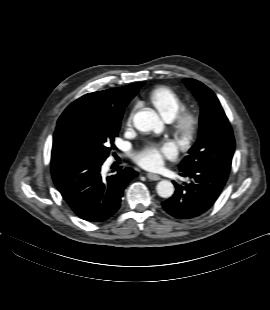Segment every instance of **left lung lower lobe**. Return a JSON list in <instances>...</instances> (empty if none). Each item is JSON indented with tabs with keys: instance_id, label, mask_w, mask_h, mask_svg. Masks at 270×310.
Instances as JSON below:
<instances>
[{
	"instance_id": "left-lung-lower-lobe-1",
	"label": "left lung lower lobe",
	"mask_w": 270,
	"mask_h": 310,
	"mask_svg": "<svg viewBox=\"0 0 270 310\" xmlns=\"http://www.w3.org/2000/svg\"><path fill=\"white\" fill-rule=\"evenodd\" d=\"M188 183L175 185V193L162 203L163 208L178 219H191L208 211L220 195L228 174L209 171L202 167L180 170Z\"/></svg>"
}]
</instances>
